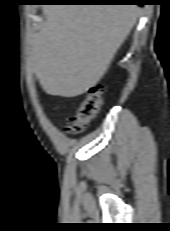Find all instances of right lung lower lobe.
<instances>
[{
  "label": "right lung lower lobe",
  "mask_w": 170,
  "mask_h": 231,
  "mask_svg": "<svg viewBox=\"0 0 170 231\" xmlns=\"http://www.w3.org/2000/svg\"><path fill=\"white\" fill-rule=\"evenodd\" d=\"M142 0H39L46 3H137Z\"/></svg>",
  "instance_id": "obj_1"
}]
</instances>
